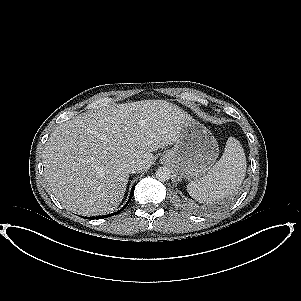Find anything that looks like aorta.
<instances>
[{
    "mask_svg": "<svg viewBox=\"0 0 301 301\" xmlns=\"http://www.w3.org/2000/svg\"><path fill=\"white\" fill-rule=\"evenodd\" d=\"M156 178L161 181V182H166L170 179L171 177V172L168 168L166 167H160L156 170Z\"/></svg>",
    "mask_w": 301,
    "mask_h": 301,
    "instance_id": "1",
    "label": "aorta"
}]
</instances>
